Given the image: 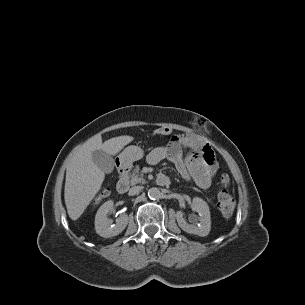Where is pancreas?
<instances>
[{"label": "pancreas", "mask_w": 305, "mask_h": 305, "mask_svg": "<svg viewBox=\"0 0 305 305\" xmlns=\"http://www.w3.org/2000/svg\"><path fill=\"white\" fill-rule=\"evenodd\" d=\"M139 166H136L132 171V174H129L126 177V180L130 183V185H135L138 183L144 184L145 179L143 178V174L139 172Z\"/></svg>", "instance_id": "pancreas-1"}]
</instances>
